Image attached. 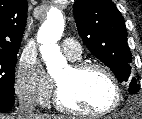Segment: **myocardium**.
<instances>
[{
	"mask_svg": "<svg viewBox=\"0 0 142 119\" xmlns=\"http://www.w3.org/2000/svg\"><path fill=\"white\" fill-rule=\"evenodd\" d=\"M72 72L76 75H80L82 73H85L90 70H97L101 73H103L110 81L112 87H113V100L111 104L105 108L104 110L98 111V112H87L80 110L78 108H74L68 104H66L62 99V92L61 88L56 82V89L54 94V105L61 111L77 115V116H83V117H103L110 113H112L114 110L117 109L121 102L122 94H121V87L119 85V82L116 78V76L104 65L96 62H77L73 63L70 66Z\"/></svg>",
	"mask_w": 142,
	"mask_h": 119,
	"instance_id": "1",
	"label": "myocardium"
}]
</instances>
